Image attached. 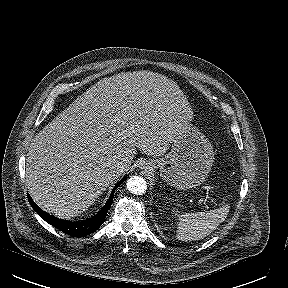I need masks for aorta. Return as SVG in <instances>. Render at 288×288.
I'll use <instances>...</instances> for the list:
<instances>
[{
    "label": "aorta",
    "instance_id": "obj_1",
    "mask_svg": "<svg viewBox=\"0 0 288 288\" xmlns=\"http://www.w3.org/2000/svg\"><path fill=\"white\" fill-rule=\"evenodd\" d=\"M126 185L127 189L135 195H142L147 189L146 181L141 176H131Z\"/></svg>",
    "mask_w": 288,
    "mask_h": 288
}]
</instances>
